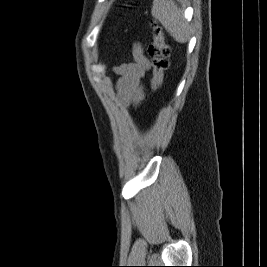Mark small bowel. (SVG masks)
Returning <instances> with one entry per match:
<instances>
[{"label": "small bowel", "instance_id": "c3829d8e", "mask_svg": "<svg viewBox=\"0 0 267 267\" xmlns=\"http://www.w3.org/2000/svg\"><path fill=\"white\" fill-rule=\"evenodd\" d=\"M132 53L133 62L121 64L114 68L115 73L119 76L117 82L119 98L128 106L137 105L144 98L141 80L150 67L139 43L134 44Z\"/></svg>", "mask_w": 267, "mask_h": 267}]
</instances>
